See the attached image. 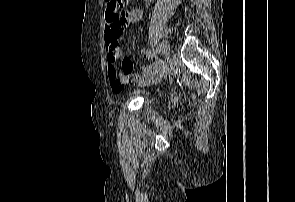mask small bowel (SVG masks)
Returning <instances> with one entry per match:
<instances>
[{"instance_id": "small-bowel-1", "label": "small bowel", "mask_w": 295, "mask_h": 202, "mask_svg": "<svg viewBox=\"0 0 295 202\" xmlns=\"http://www.w3.org/2000/svg\"><path fill=\"white\" fill-rule=\"evenodd\" d=\"M142 17V10L139 8H130L126 11L125 19H113L110 15H107L106 27H105V47L107 51V68L110 78V84L112 90L116 93H120L123 86L130 83L146 84L150 83V79L153 78L162 68V64L159 61L144 66L141 68L140 73L135 72V63H131V59H120L122 64L124 75L119 74L115 65L116 61L122 55V50L117 46V40L122 33V30L126 24H135L140 21ZM141 55L146 59H152L154 54L148 49H143ZM119 85V86H115ZM169 86H174V81H169Z\"/></svg>"}]
</instances>
